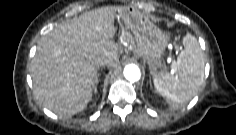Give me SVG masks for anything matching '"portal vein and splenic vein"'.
<instances>
[{
    "label": "portal vein and splenic vein",
    "instance_id": "1",
    "mask_svg": "<svg viewBox=\"0 0 236 135\" xmlns=\"http://www.w3.org/2000/svg\"><path fill=\"white\" fill-rule=\"evenodd\" d=\"M175 71H176V63L172 62V72H175Z\"/></svg>",
    "mask_w": 236,
    "mask_h": 135
}]
</instances>
